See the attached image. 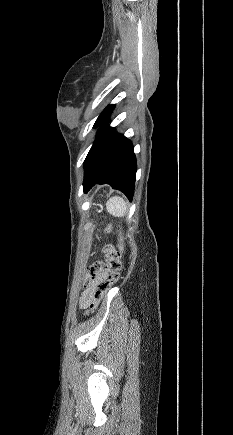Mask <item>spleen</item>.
<instances>
[{"label":"spleen","instance_id":"1","mask_svg":"<svg viewBox=\"0 0 233 435\" xmlns=\"http://www.w3.org/2000/svg\"><path fill=\"white\" fill-rule=\"evenodd\" d=\"M106 209L111 215L122 217L127 212V205L121 197L113 196L107 201Z\"/></svg>","mask_w":233,"mask_h":435}]
</instances>
